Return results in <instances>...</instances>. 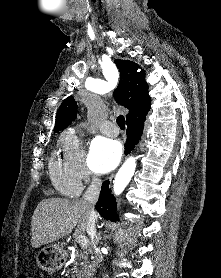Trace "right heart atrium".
<instances>
[{
	"label": "right heart atrium",
	"mask_w": 221,
	"mask_h": 278,
	"mask_svg": "<svg viewBox=\"0 0 221 278\" xmlns=\"http://www.w3.org/2000/svg\"><path fill=\"white\" fill-rule=\"evenodd\" d=\"M63 159L79 182H89L94 179V172L89 163L86 151L75 132H68L61 139Z\"/></svg>",
	"instance_id": "1"
}]
</instances>
